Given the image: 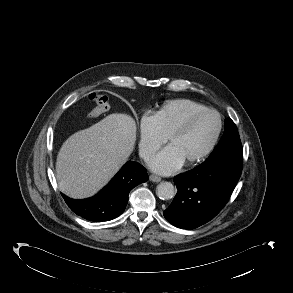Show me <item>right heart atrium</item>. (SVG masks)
<instances>
[{
	"label": "right heart atrium",
	"instance_id": "right-heart-atrium-1",
	"mask_svg": "<svg viewBox=\"0 0 293 293\" xmlns=\"http://www.w3.org/2000/svg\"><path fill=\"white\" fill-rule=\"evenodd\" d=\"M166 138L159 131L153 114L145 113L139 120V153L144 160L165 143Z\"/></svg>",
	"mask_w": 293,
	"mask_h": 293
}]
</instances>
